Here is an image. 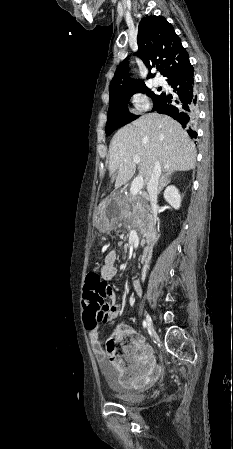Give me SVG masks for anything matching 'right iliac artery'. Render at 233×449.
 <instances>
[{"label":"right iliac artery","instance_id":"1","mask_svg":"<svg viewBox=\"0 0 233 449\" xmlns=\"http://www.w3.org/2000/svg\"><path fill=\"white\" fill-rule=\"evenodd\" d=\"M143 326L146 328H148V325H147V322L146 321H143ZM149 329V328H148Z\"/></svg>","mask_w":233,"mask_h":449}]
</instances>
